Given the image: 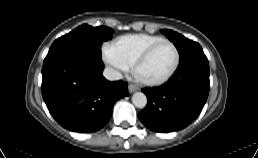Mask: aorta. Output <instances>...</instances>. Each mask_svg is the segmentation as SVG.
<instances>
[{"mask_svg":"<svg viewBox=\"0 0 258 158\" xmlns=\"http://www.w3.org/2000/svg\"><path fill=\"white\" fill-rule=\"evenodd\" d=\"M133 104L138 108H144L147 104V97L143 92H135L132 96Z\"/></svg>","mask_w":258,"mask_h":158,"instance_id":"762f6f07","label":"aorta"}]
</instances>
